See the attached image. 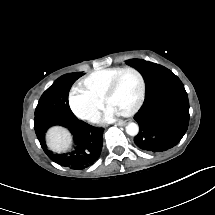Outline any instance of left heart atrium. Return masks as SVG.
<instances>
[{
	"instance_id": "39dd6f15",
	"label": "left heart atrium",
	"mask_w": 215,
	"mask_h": 215,
	"mask_svg": "<svg viewBox=\"0 0 215 215\" xmlns=\"http://www.w3.org/2000/svg\"><path fill=\"white\" fill-rule=\"evenodd\" d=\"M107 105L102 110V119L108 120L113 116L119 115L121 113V109L116 104V101L113 98V95L108 100H105Z\"/></svg>"
}]
</instances>
